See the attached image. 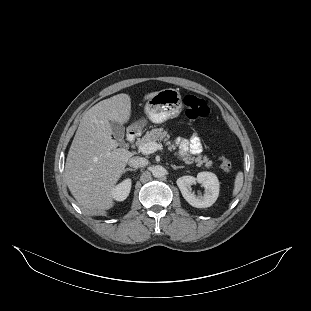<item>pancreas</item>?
<instances>
[{
  "mask_svg": "<svg viewBox=\"0 0 311 311\" xmlns=\"http://www.w3.org/2000/svg\"><path fill=\"white\" fill-rule=\"evenodd\" d=\"M149 142H163L167 145V148L169 151L176 150L178 148V144L171 140L169 129H164L162 127L160 128H154L150 131H147L145 135L136 141V145L143 144V143H149ZM184 161L187 164H195L196 166L201 167L202 169L205 168H214L213 162L209 160L207 155L199 154L198 156H193L190 153L185 154Z\"/></svg>",
  "mask_w": 311,
  "mask_h": 311,
  "instance_id": "pancreas-1",
  "label": "pancreas"
}]
</instances>
